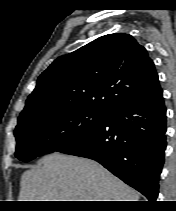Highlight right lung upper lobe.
<instances>
[{
    "label": "right lung upper lobe",
    "instance_id": "obj_1",
    "mask_svg": "<svg viewBox=\"0 0 176 211\" xmlns=\"http://www.w3.org/2000/svg\"><path fill=\"white\" fill-rule=\"evenodd\" d=\"M159 87L146 49L129 34H109L56 59L39 76L19 118L76 107L108 113Z\"/></svg>",
    "mask_w": 176,
    "mask_h": 211
}]
</instances>
